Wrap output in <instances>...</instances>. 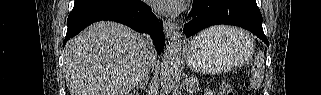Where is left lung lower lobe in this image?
Segmentation results:
<instances>
[{
  "label": "left lung lower lobe",
  "instance_id": "0a47b994",
  "mask_svg": "<svg viewBox=\"0 0 321 95\" xmlns=\"http://www.w3.org/2000/svg\"><path fill=\"white\" fill-rule=\"evenodd\" d=\"M189 16L193 19L184 26L186 37L212 25L226 24L247 29L268 45L256 0H194Z\"/></svg>",
  "mask_w": 321,
  "mask_h": 95
}]
</instances>
